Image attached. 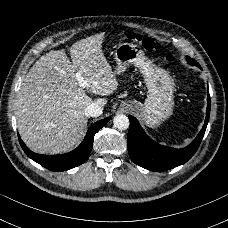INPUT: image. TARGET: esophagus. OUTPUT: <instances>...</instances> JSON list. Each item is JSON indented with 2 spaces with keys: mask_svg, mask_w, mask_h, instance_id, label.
Returning <instances> with one entry per match:
<instances>
[{
  "mask_svg": "<svg viewBox=\"0 0 228 228\" xmlns=\"http://www.w3.org/2000/svg\"><path fill=\"white\" fill-rule=\"evenodd\" d=\"M119 109H120V111H125L126 110V105L125 104H121Z\"/></svg>",
  "mask_w": 228,
  "mask_h": 228,
  "instance_id": "34e87169",
  "label": "esophagus"
}]
</instances>
